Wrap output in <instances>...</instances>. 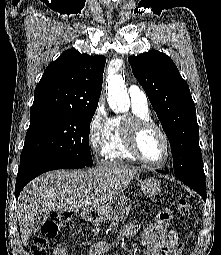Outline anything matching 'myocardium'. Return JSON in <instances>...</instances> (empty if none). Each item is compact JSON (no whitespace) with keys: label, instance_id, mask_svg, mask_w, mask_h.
Here are the masks:
<instances>
[{"label":"myocardium","instance_id":"1","mask_svg":"<svg viewBox=\"0 0 221 255\" xmlns=\"http://www.w3.org/2000/svg\"><path fill=\"white\" fill-rule=\"evenodd\" d=\"M150 129L156 130L162 137L166 154L160 161H152L146 158L140 149L141 136ZM123 135L128 150L141 162L151 166H162L171 157V144L166 132L151 119L127 118L123 124Z\"/></svg>","mask_w":221,"mask_h":255}]
</instances>
